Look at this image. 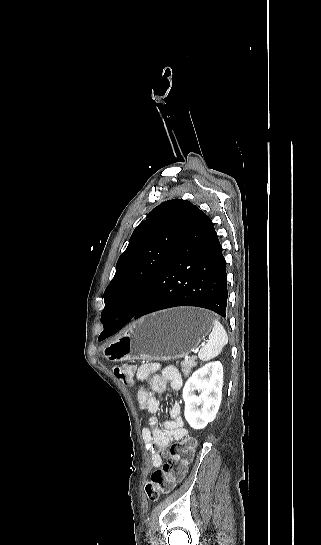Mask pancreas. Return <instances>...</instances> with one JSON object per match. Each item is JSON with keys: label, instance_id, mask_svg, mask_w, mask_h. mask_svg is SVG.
Returning <instances> with one entry per match:
<instances>
[{"label": "pancreas", "instance_id": "obj_1", "mask_svg": "<svg viewBox=\"0 0 321 545\" xmlns=\"http://www.w3.org/2000/svg\"><path fill=\"white\" fill-rule=\"evenodd\" d=\"M178 365V363H177ZM180 365H182V373H184V377H188L190 375L193 367H196L197 363L195 359H185V361H181Z\"/></svg>", "mask_w": 321, "mask_h": 545}]
</instances>
